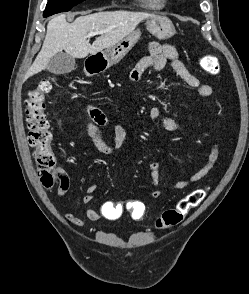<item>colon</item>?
I'll return each mask as SVG.
<instances>
[{
	"label": "colon",
	"mask_w": 249,
	"mask_h": 294,
	"mask_svg": "<svg viewBox=\"0 0 249 294\" xmlns=\"http://www.w3.org/2000/svg\"><path fill=\"white\" fill-rule=\"evenodd\" d=\"M203 70L210 75L219 73L217 61L210 55L202 56L200 60ZM53 87V79L40 81L29 92L26 111L29 126V143L33 147V156L40 176L41 183L45 187H53L60 182L62 171L56 167V155L52 148L53 136L50 131L46 114V99ZM208 189H196L180 199L175 207L167 209L155 220V227L159 230L168 229L183 222L189 211L199 206L207 196ZM129 216L140 221L146 217V206L138 200H130L126 204ZM124 208L120 203H114L111 211L113 217H120Z\"/></svg>",
	"instance_id": "colon-1"
}]
</instances>
